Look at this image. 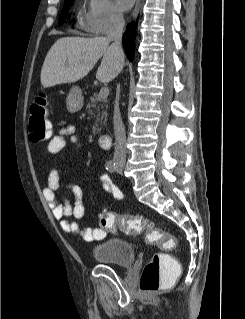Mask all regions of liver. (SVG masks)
<instances>
[{
  "instance_id": "6515ba94",
  "label": "liver",
  "mask_w": 245,
  "mask_h": 319,
  "mask_svg": "<svg viewBox=\"0 0 245 319\" xmlns=\"http://www.w3.org/2000/svg\"><path fill=\"white\" fill-rule=\"evenodd\" d=\"M105 37H63L48 51L41 70L44 88L73 83L85 77L102 58L96 78L108 83L123 69L124 58L117 59Z\"/></svg>"
}]
</instances>
